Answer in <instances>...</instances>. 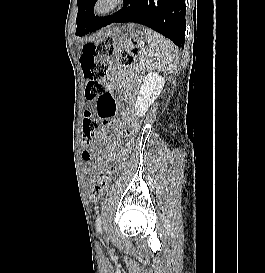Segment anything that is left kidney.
Wrapping results in <instances>:
<instances>
[{"label": "left kidney", "mask_w": 265, "mask_h": 273, "mask_svg": "<svg viewBox=\"0 0 265 273\" xmlns=\"http://www.w3.org/2000/svg\"><path fill=\"white\" fill-rule=\"evenodd\" d=\"M165 84V78L158 73L149 72L144 78L135 102L137 116H143L160 95Z\"/></svg>", "instance_id": "left-kidney-1"}]
</instances>
